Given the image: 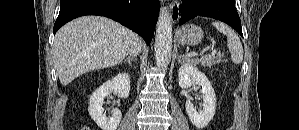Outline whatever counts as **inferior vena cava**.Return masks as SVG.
<instances>
[{
    "label": "inferior vena cava",
    "instance_id": "inferior-vena-cava-1",
    "mask_svg": "<svg viewBox=\"0 0 299 130\" xmlns=\"http://www.w3.org/2000/svg\"><path fill=\"white\" fill-rule=\"evenodd\" d=\"M140 51H141V42L139 41V38L135 36L129 48V54L134 57L137 56Z\"/></svg>",
    "mask_w": 299,
    "mask_h": 130
}]
</instances>
